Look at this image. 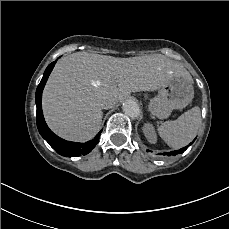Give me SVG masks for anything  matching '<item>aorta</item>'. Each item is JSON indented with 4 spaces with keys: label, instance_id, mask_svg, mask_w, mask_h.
Instances as JSON below:
<instances>
[{
    "label": "aorta",
    "instance_id": "obj_1",
    "mask_svg": "<svg viewBox=\"0 0 229 229\" xmlns=\"http://www.w3.org/2000/svg\"><path fill=\"white\" fill-rule=\"evenodd\" d=\"M122 109L124 113L132 119H136L140 116V107L134 100H126L123 103Z\"/></svg>",
    "mask_w": 229,
    "mask_h": 229
}]
</instances>
